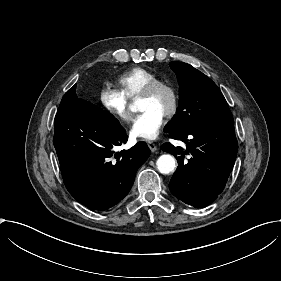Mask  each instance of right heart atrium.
<instances>
[{"label":"right heart atrium","mask_w":281,"mask_h":281,"mask_svg":"<svg viewBox=\"0 0 281 281\" xmlns=\"http://www.w3.org/2000/svg\"><path fill=\"white\" fill-rule=\"evenodd\" d=\"M99 98L103 108L111 117L124 123L132 121L131 107L119 90L104 86L100 90Z\"/></svg>","instance_id":"d8ad5b80"}]
</instances>
